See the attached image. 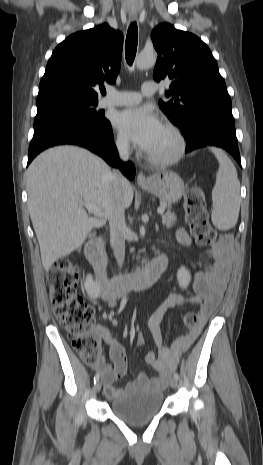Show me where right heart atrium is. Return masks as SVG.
Segmentation results:
<instances>
[{"instance_id": "right-heart-atrium-1", "label": "right heart atrium", "mask_w": 263, "mask_h": 465, "mask_svg": "<svg viewBox=\"0 0 263 465\" xmlns=\"http://www.w3.org/2000/svg\"><path fill=\"white\" fill-rule=\"evenodd\" d=\"M114 145L117 152L121 155H128L131 151L129 141L122 135H117L114 141Z\"/></svg>"}]
</instances>
